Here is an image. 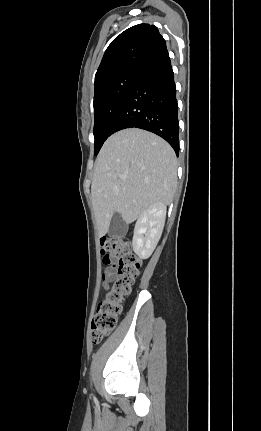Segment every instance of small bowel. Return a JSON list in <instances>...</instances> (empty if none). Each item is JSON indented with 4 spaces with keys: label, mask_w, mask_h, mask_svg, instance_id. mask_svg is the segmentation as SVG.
Instances as JSON below:
<instances>
[{
    "label": "small bowel",
    "mask_w": 261,
    "mask_h": 431,
    "mask_svg": "<svg viewBox=\"0 0 261 431\" xmlns=\"http://www.w3.org/2000/svg\"><path fill=\"white\" fill-rule=\"evenodd\" d=\"M114 276V268L112 266L108 267L103 274V287L108 288V283L112 280Z\"/></svg>",
    "instance_id": "obj_1"
}]
</instances>
